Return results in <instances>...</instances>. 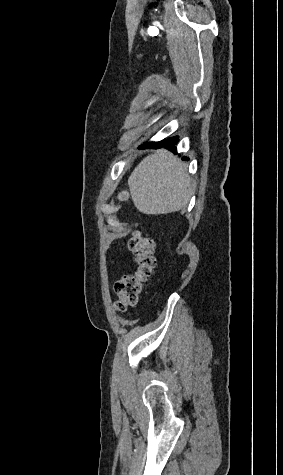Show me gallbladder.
<instances>
[{
    "mask_svg": "<svg viewBox=\"0 0 283 475\" xmlns=\"http://www.w3.org/2000/svg\"><path fill=\"white\" fill-rule=\"evenodd\" d=\"M118 200H120V202H126V200H128L127 192H120Z\"/></svg>",
    "mask_w": 283,
    "mask_h": 475,
    "instance_id": "bac80fb5",
    "label": "gallbladder"
}]
</instances>
